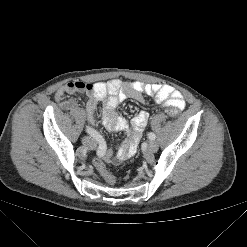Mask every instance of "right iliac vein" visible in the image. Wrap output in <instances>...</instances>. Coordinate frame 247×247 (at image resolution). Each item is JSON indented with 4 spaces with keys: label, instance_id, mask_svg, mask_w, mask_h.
Masks as SVG:
<instances>
[{
    "label": "right iliac vein",
    "instance_id": "right-iliac-vein-1",
    "mask_svg": "<svg viewBox=\"0 0 247 247\" xmlns=\"http://www.w3.org/2000/svg\"><path fill=\"white\" fill-rule=\"evenodd\" d=\"M82 143H83V145H84L85 147H88V148H90V149H93V148L95 147V142H94V140H93L91 137H89V136H84V137L82 138Z\"/></svg>",
    "mask_w": 247,
    "mask_h": 247
}]
</instances>
